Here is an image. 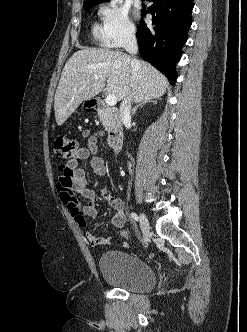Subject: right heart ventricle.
<instances>
[{
	"mask_svg": "<svg viewBox=\"0 0 247 332\" xmlns=\"http://www.w3.org/2000/svg\"><path fill=\"white\" fill-rule=\"evenodd\" d=\"M92 34L94 36V38L102 45H105V40H104V37H103V33H102V29L99 25L95 24L93 25V28H92Z\"/></svg>",
	"mask_w": 247,
	"mask_h": 332,
	"instance_id": "1",
	"label": "right heart ventricle"
}]
</instances>
